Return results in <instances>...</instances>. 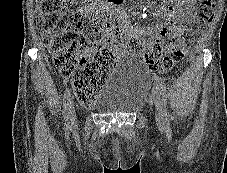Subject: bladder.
<instances>
[{"mask_svg":"<svg viewBox=\"0 0 227 173\" xmlns=\"http://www.w3.org/2000/svg\"><path fill=\"white\" fill-rule=\"evenodd\" d=\"M150 88V74L137 59L121 61L109 74L93 107L103 113H130L146 100Z\"/></svg>","mask_w":227,"mask_h":173,"instance_id":"31cf9c89","label":"bladder"}]
</instances>
